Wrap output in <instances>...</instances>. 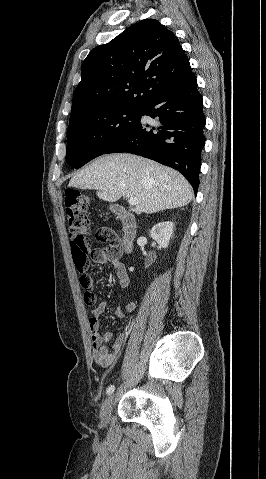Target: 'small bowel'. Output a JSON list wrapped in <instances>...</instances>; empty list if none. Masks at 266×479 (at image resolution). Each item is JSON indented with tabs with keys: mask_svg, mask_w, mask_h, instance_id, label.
<instances>
[{
	"mask_svg": "<svg viewBox=\"0 0 266 479\" xmlns=\"http://www.w3.org/2000/svg\"><path fill=\"white\" fill-rule=\"evenodd\" d=\"M113 246L109 245L105 249L97 250L93 253L92 261L96 265L110 264L113 266L118 284L121 288L125 289L130 284V278L127 273L125 265L119 261L118 258H114L110 254V250ZM136 309V303H130L126 309L118 306L114 314L120 319H126L127 314L133 312ZM106 310L105 300H101L98 305L92 310L91 317L89 319L90 339L92 345V357L94 361L101 367L111 366L123 349L127 335L121 333L115 339L113 347L110 350L107 343L111 340L112 334L110 332L100 333V317Z\"/></svg>",
	"mask_w": 266,
	"mask_h": 479,
	"instance_id": "small-bowel-1",
	"label": "small bowel"
}]
</instances>
